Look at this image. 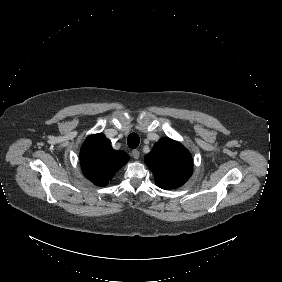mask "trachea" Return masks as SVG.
Instances as JSON below:
<instances>
[{"label":"trachea","instance_id":"1","mask_svg":"<svg viewBox=\"0 0 282 282\" xmlns=\"http://www.w3.org/2000/svg\"><path fill=\"white\" fill-rule=\"evenodd\" d=\"M139 142H140V138L136 133H131L127 138L128 146L131 149L137 148L139 145Z\"/></svg>","mask_w":282,"mask_h":282}]
</instances>
